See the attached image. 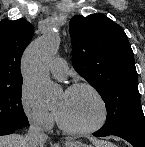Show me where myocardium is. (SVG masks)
<instances>
[{
	"instance_id": "obj_1",
	"label": "myocardium",
	"mask_w": 145,
	"mask_h": 147,
	"mask_svg": "<svg viewBox=\"0 0 145 147\" xmlns=\"http://www.w3.org/2000/svg\"><path fill=\"white\" fill-rule=\"evenodd\" d=\"M79 89L89 90L95 96L97 101L99 102L100 107H101V116H100V119L98 120V122H96L94 125H92L90 127L76 128V127H72L69 124H67L57 109H55V114L57 117L59 127L63 131H65L69 134H72V135L83 136V135H89V134L95 133L98 130H100L102 127H104V125L106 124L108 117H109V109H108V105H107L106 100L104 99L103 95L92 84L85 83V82L74 83V84L68 86L66 88L65 92L69 93V92L76 91Z\"/></svg>"
}]
</instances>
